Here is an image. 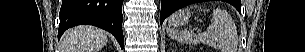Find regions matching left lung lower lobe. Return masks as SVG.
<instances>
[{
	"label": "left lung lower lobe",
	"instance_id": "0a47b994",
	"mask_svg": "<svg viewBox=\"0 0 305 52\" xmlns=\"http://www.w3.org/2000/svg\"><path fill=\"white\" fill-rule=\"evenodd\" d=\"M206 0H161V14L160 23H162L166 17L171 15L177 9L186 6L188 4L202 2ZM235 7L240 11L241 3L239 2Z\"/></svg>",
	"mask_w": 305,
	"mask_h": 52
}]
</instances>
